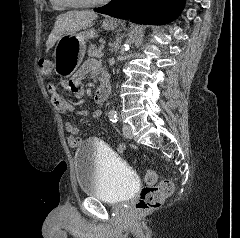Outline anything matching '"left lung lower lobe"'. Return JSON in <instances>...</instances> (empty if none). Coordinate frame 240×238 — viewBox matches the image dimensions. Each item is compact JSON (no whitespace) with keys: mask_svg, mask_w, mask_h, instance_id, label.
<instances>
[{"mask_svg":"<svg viewBox=\"0 0 240 238\" xmlns=\"http://www.w3.org/2000/svg\"><path fill=\"white\" fill-rule=\"evenodd\" d=\"M185 0H111L94 11L131 21L161 25L177 18Z\"/></svg>","mask_w":240,"mask_h":238,"instance_id":"0a47b994","label":"left lung lower lobe"}]
</instances>
